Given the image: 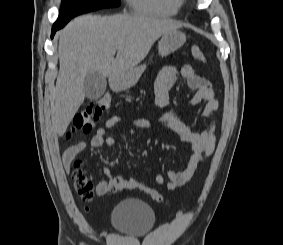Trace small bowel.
I'll return each instance as SVG.
<instances>
[{
	"instance_id": "obj_1",
	"label": "small bowel",
	"mask_w": 283,
	"mask_h": 245,
	"mask_svg": "<svg viewBox=\"0 0 283 245\" xmlns=\"http://www.w3.org/2000/svg\"><path fill=\"white\" fill-rule=\"evenodd\" d=\"M181 76L186 85L194 90L188 109L204 103L202 110V118L205 125L202 129H195L182 120V112L172 110L169 102V91ZM155 103L162 109L161 128L170 131L179 136L185 143L192 148V154L188 163L182 171L170 170L167 172L168 180L160 173L155 175V181L159 185H165L167 189L174 190L185 184L195 173L198 167L210 157L216 145L215 125L212 121V113L218 110L219 103L215 97L211 83L204 77L196 74L190 65H184L180 69L174 66L164 67L156 78L154 85ZM121 122L119 116H112L106 122L104 127L97 129L90 140V145L94 148L104 146L113 147L116 140L112 136H106L107 130ZM154 125L147 119H135L132 121L129 132L136 134L139 130H153ZM86 146L85 141H80L69 146L62 155V162L67 171L71 169V164L75 156L81 152ZM104 175L108 181H99L96 184L95 192L98 196H104L109 192V182L115 177L111 168L103 169ZM89 211V208H85Z\"/></svg>"
}]
</instances>
